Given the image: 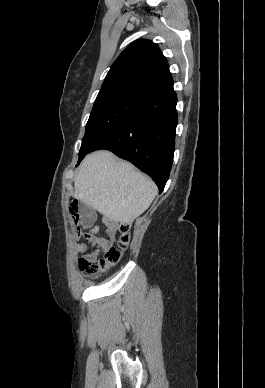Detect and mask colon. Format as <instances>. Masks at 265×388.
<instances>
[{"label": "colon", "mask_w": 265, "mask_h": 388, "mask_svg": "<svg viewBox=\"0 0 265 388\" xmlns=\"http://www.w3.org/2000/svg\"><path fill=\"white\" fill-rule=\"evenodd\" d=\"M79 209L80 206L77 201H72L69 204V212L75 222H78L80 217ZM119 231L120 236L117 246L110 247L105 252L103 258L97 260H89L86 258L79 259V268L85 275L91 278H97L119 262L129 243V225L126 223L120 224ZM83 236H85V234H83Z\"/></svg>", "instance_id": "5ec220e1"}]
</instances>
